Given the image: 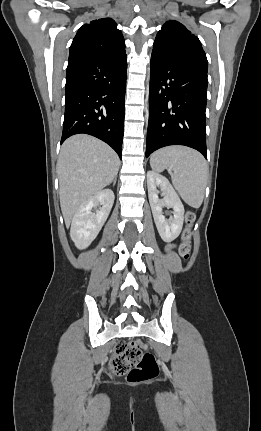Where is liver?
<instances>
[{
    "label": "liver",
    "instance_id": "6515ba94",
    "mask_svg": "<svg viewBox=\"0 0 261 431\" xmlns=\"http://www.w3.org/2000/svg\"><path fill=\"white\" fill-rule=\"evenodd\" d=\"M120 160L101 140L74 135L62 145L58 163L61 211L67 226L79 207L117 176Z\"/></svg>",
    "mask_w": 261,
    "mask_h": 431
}]
</instances>
